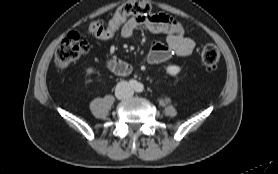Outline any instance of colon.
<instances>
[{"mask_svg":"<svg viewBox=\"0 0 278 174\" xmlns=\"http://www.w3.org/2000/svg\"><path fill=\"white\" fill-rule=\"evenodd\" d=\"M151 11L150 5L144 0H128L122 4L105 23L102 20H93L89 23V30L96 37L101 39L112 38L119 30L122 23L131 16L148 14ZM167 24L177 33L186 35L185 27L175 18H168ZM89 42L84 40L78 33L71 32L58 46L55 54V64L59 69H65L76 62L81 56L88 53ZM220 59V51L214 44H207L201 52L203 66L211 71L217 67Z\"/></svg>","mask_w":278,"mask_h":174,"instance_id":"5ec220e1","label":"colon"}]
</instances>
